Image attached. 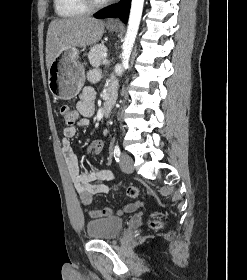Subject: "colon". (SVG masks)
Returning <instances> with one entry per match:
<instances>
[{"label": "colon", "mask_w": 247, "mask_h": 280, "mask_svg": "<svg viewBox=\"0 0 247 280\" xmlns=\"http://www.w3.org/2000/svg\"><path fill=\"white\" fill-rule=\"evenodd\" d=\"M59 114L62 119V121L69 125H73L78 118V114L74 108H72L69 105H62L59 108ZM104 143V138L102 136H95L93 138V141L90 142L86 148V152L90 156H96L99 155L102 151ZM127 195L131 198H136L139 194L138 189L135 186H129L126 189ZM151 225L153 227L159 226V222L154 220L151 222Z\"/></svg>", "instance_id": "obj_1"}]
</instances>
